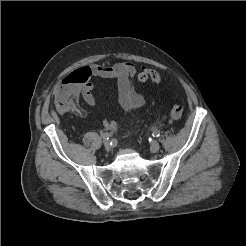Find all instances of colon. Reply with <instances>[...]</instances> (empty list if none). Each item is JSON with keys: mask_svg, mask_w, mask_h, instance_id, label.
I'll return each instance as SVG.
<instances>
[{"mask_svg": "<svg viewBox=\"0 0 246 246\" xmlns=\"http://www.w3.org/2000/svg\"><path fill=\"white\" fill-rule=\"evenodd\" d=\"M137 80L140 83H145V82L151 81L155 84H160L161 76L154 69L142 67V69L137 74ZM183 111H184V109L181 105H178V104L172 105L170 108L171 119L174 121L179 120L183 115Z\"/></svg>", "mask_w": 246, "mask_h": 246, "instance_id": "1", "label": "colon"}]
</instances>
